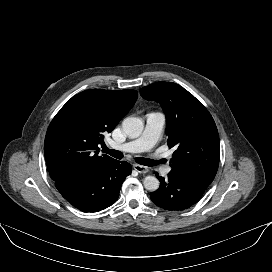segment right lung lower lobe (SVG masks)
Segmentation results:
<instances>
[{
  "instance_id": "obj_1",
  "label": "right lung lower lobe",
  "mask_w": 272,
  "mask_h": 272,
  "mask_svg": "<svg viewBox=\"0 0 272 272\" xmlns=\"http://www.w3.org/2000/svg\"><path fill=\"white\" fill-rule=\"evenodd\" d=\"M131 165L110 159L95 170L82 175L55 181L60 194L83 212L101 211L114 204Z\"/></svg>"
}]
</instances>
